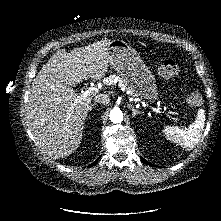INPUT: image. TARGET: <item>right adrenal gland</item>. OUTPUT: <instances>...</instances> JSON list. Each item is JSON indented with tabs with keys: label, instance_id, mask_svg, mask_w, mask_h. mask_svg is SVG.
Segmentation results:
<instances>
[{
	"label": "right adrenal gland",
	"instance_id": "1",
	"mask_svg": "<svg viewBox=\"0 0 221 221\" xmlns=\"http://www.w3.org/2000/svg\"><path fill=\"white\" fill-rule=\"evenodd\" d=\"M96 105H97L96 103L91 104V106H90V108H89V111H91L92 108H93L94 106H96Z\"/></svg>",
	"mask_w": 221,
	"mask_h": 221
}]
</instances>
